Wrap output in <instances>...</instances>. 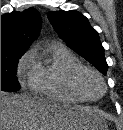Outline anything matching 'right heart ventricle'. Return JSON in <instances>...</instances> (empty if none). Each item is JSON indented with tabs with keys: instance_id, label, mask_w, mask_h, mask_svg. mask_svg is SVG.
I'll list each match as a JSON object with an SVG mask.
<instances>
[{
	"instance_id": "e07e8e85",
	"label": "right heart ventricle",
	"mask_w": 123,
	"mask_h": 130,
	"mask_svg": "<svg viewBox=\"0 0 123 130\" xmlns=\"http://www.w3.org/2000/svg\"><path fill=\"white\" fill-rule=\"evenodd\" d=\"M34 62L29 84L36 94L65 103L86 101L72 84L73 72L84 64L65 45L50 44L42 55H35Z\"/></svg>"
}]
</instances>
